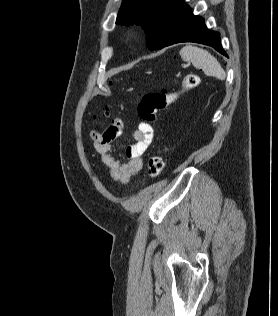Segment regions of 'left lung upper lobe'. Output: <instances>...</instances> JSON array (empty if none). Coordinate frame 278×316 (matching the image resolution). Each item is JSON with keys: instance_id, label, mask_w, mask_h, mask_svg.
Segmentation results:
<instances>
[{"instance_id": "obj_1", "label": "left lung upper lobe", "mask_w": 278, "mask_h": 316, "mask_svg": "<svg viewBox=\"0 0 278 316\" xmlns=\"http://www.w3.org/2000/svg\"><path fill=\"white\" fill-rule=\"evenodd\" d=\"M184 0H123L116 24L141 25L150 50H159L173 36L188 9Z\"/></svg>"}]
</instances>
